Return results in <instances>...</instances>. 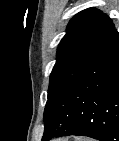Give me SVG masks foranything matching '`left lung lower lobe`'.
Masks as SVG:
<instances>
[{"label":"left lung lower lobe","instance_id":"1","mask_svg":"<svg viewBox=\"0 0 119 141\" xmlns=\"http://www.w3.org/2000/svg\"><path fill=\"white\" fill-rule=\"evenodd\" d=\"M42 141L82 135L119 141V33L112 25L95 58L44 110Z\"/></svg>","mask_w":119,"mask_h":141}]
</instances>
